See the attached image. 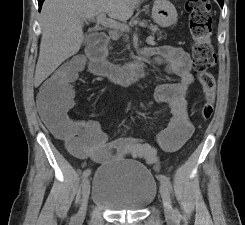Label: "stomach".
<instances>
[{
    "label": "stomach",
    "mask_w": 245,
    "mask_h": 225,
    "mask_svg": "<svg viewBox=\"0 0 245 225\" xmlns=\"http://www.w3.org/2000/svg\"><path fill=\"white\" fill-rule=\"evenodd\" d=\"M152 18L160 27H170L177 22L176 8L168 0H155Z\"/></svg>",
    "instance_id": "stomach-1"
}]
</instances>
